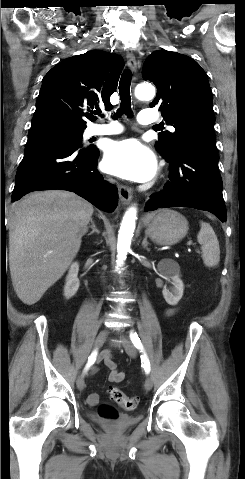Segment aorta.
Listing matches in <instances>:
<instances>
[{"mask_svg":"<svg viewBox=\"0 0 245 479\" xmlns=\"http://www.w3.org/2000/svg\"><path fill=\"white\" fill-rule=\"evenodd\" d=\"M155 95V88L149 84H140L135 89V96L140 100H150ZM137 219L136 207H130L121 222L118 242H117V267L124 264L127 253L130 249L131 239L135 230V220Z\"/></svg>","mask_w":245,"mask_h":479,"instance_id":"1","label":"aorta"}]
</instances>
